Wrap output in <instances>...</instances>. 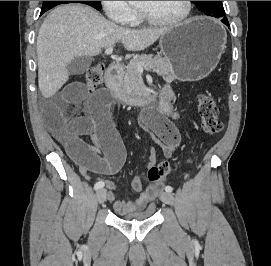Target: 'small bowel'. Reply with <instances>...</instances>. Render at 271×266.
<instances>
[{
  "mask_svg": "<svg viewBox=\"0 0 271 266\" xmlns=\"http://www.w3.org/2000/svg\"><path fill=\"white\" fill-rule=\"evenodd\" d=\"M84 69V62H74L69 72L79 74ZM174 93L170 86L163 88V96L159 102V112L162 116L155 117L150 127L163 143L164 153L170 157L180 142V135L173 123L167 117L176 118L173 109ZM88 98L87 113L77 120L67 122L65 114L68 108ZM112 101L105 91L90 95L81 82H71L63 86L58 93L42 106L44 120L61 141L69 155L78 165L80 172L87 178L90 172L98 174H114L120 170L125 160L123 142L115 129L111 118ZM90 136L93 145H87L81 136ZM103 154V156H101ZM154 162L151 155L150 167ZM106 198L113 204L114 210L125 215L144 209L163 188L162 183L143 187L138 176L131 179L133 191L139 194L132 201L116 200V185L107 181Z\"/></svg>",
  "mask_w": 271,
  "mask_h": 266,
  "instance_id": "obj_1",
  "label": "small bowel"
}]
</instances>
